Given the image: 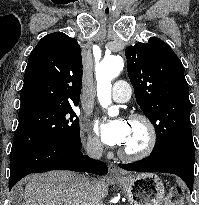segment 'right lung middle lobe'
Instances as JSON below:
<instances>
[{
	"label": "right lung middle lobe",
	"instance_id": "right-lung-middle-lobe-1",
	"mask_svg": "<svg viewBox=\"0 0 199 205\" xmlns=\"http://www.w3.org/2000/svg\"><path fill=\"white\" fill-rule=\"evenodd\" d=\"M72 107L73 104L42 105L19 111L10 157L50 143L79 146V119Z\"/></svg>",
	"mask_w": 199,
	"mask_h": 205
}]
</instances>
